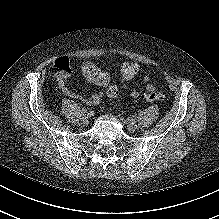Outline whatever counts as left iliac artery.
Returning <instances> with one entry per match:
<instances>
[{"instance_id":"left-iliac-artery-1","label":"left iliac artery","mask_w":219,"mask_h":219,"mask_svg":"<svg viewBox=\"0 0 219 219\" xmlns=\"http://www.w3.org/2000/svg\"><path fill=\"white\" fill-rule=\"evenodd\" d=\"M132 120L136 121V120H137V116L134 115V116L132 117Z\"/></svg>"}]
</instances>
